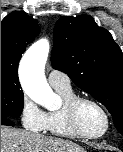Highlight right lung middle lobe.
<instances>
[{"label":"right lung middle lobe","instance_id":"obj_1","mask_svg":"<svg viewBox=\"0 0 123 152\" xmlns=\"http://www.w3.org/2000/svg\"><path fill=\"white\" fill-rule=\"evenodd\" d=\"M24 95L18 76L1 72V118H16L23 110Z\"/></svg>","mask_w":123,"mask_h":152}]
</instances>
